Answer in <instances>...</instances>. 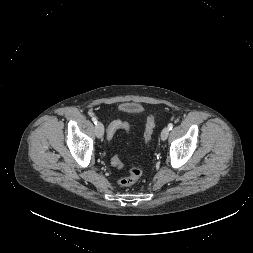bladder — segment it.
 <instances>
[{"instance_id": "31cf9c89", "label": "bladder", "mask_w": 253, "mask_h": 253, "mask_svg": "<svg viewBox=\"0 0 253 253\" xmlns=\"http://www.w3.org/2000/svg\"><path fill=\"white\" fill-rule=\"evenodd\" d=\"M124 110H137L139 107L136 104H124L122 107Z\"/></svg>"}]
</instances>
